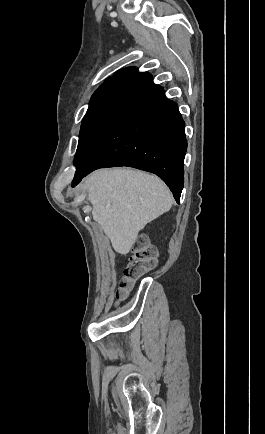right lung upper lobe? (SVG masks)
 <instances>
[{"label":"right lung upper lobe","mask_w":265,"mask_h":434,"mask_svg":"<svg viewBox=\"0 0 265 434\" xmlns=\"http://www.w3.org/2000/svg\"><path fill=\"white\" fill-rule=\"evenodd\" d=\"M136 74H138V69L135 67H130V68H126V69L118 71L115 75H113L109 78L119 77V76H132V77H134Z\"/></svg>","instance_id":"right-lung-upper-lobe-1"}]
</instances>
